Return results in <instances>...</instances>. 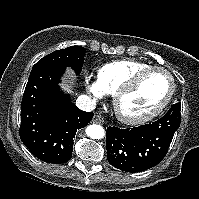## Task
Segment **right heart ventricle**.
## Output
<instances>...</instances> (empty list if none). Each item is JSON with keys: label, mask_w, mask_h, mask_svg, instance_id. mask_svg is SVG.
<instances>
[{"label": "right heart ventricle", "mask_w": 199, "mask_h": 199, "mask_svg": "<svg viewBox=\"0 0 199 199\" xmlns=\"http://www.w3.org/2000/svg\"><path fill=\"white\" fill-rule=\"evenodd\" d=\"M150 66L148 63L136 60L112 61L99 68L97 80L107 93L113 94L135 72Z\"/></svg>", "instance_id": "e07e8e85"}]
</instances>
